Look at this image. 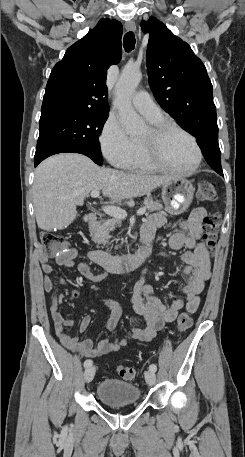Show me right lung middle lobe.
<instances>
[{
	"mask_svg": "<svg viewBox=\"0 0 245 457\" xmlns=\"http://www.w3.org/2000/svg\"><path fill=\"white\" fill-rule=\"evenodd\" d=\"M108 114L109 111L89 108L41 113L35 158L51 152H76L102 165L99 135Z\"/></svg>",
	"mask_w": 245,
	"mask_h": 457,
	"instance_id": "dd1d6c3e",
	"label": "right lung middle lobe"
}]
</instances>
